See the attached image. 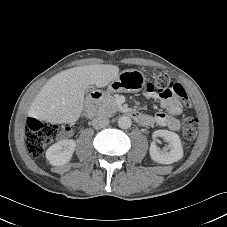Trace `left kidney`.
<instances>
[{"label":"left kidney","instance_id":"1","mask_svg":"<svg viewBox=\"0 0 227 227\" xmlns=\"http://www.w3.org/2000/svg\"><path fill=\"white\" fill-rule=\"evenodd\" d=\"M162 137L169 144L160 149L156 144V138ZM154 141L150 145V157L160 164H172L183 157V149L178 134L168 130H156L153 133Z\"/></svg>","mask_w":227,"mask_h":227}]
</instances>
